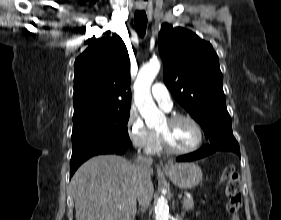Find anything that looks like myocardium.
Masks as SVG:
<instances>
[{
	"label": "myocardium",
	"instance_id": "f54148a6",
	"mask_svg": "<svg viewBox=\"0 0 281 220\" xmlns=\"http://www.w3.org/2000/svg\"><path fill=\"white\" fill-rule=\"evenodd\" d=\"M167 120L170 123H174L179 120L189 121L195 127L197 134H198V139H197L196 144L193 147H191L189 149H185V150H179V149L172 147L169 144V142L164 134L157 132L160 146L165 152H167L169 154H174V155H187V154L196 152L201 147V145L203 143V129H202L200 123L194 117L187 115V114L176 113V114H172V115L168 116Z\"/></svg>",
	"mask_w": 281,
	"mask_h": 220
}]
</instances>
